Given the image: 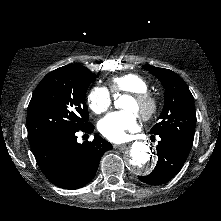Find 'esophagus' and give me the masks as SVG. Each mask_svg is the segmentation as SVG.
Returning a JSON list of instances; mask_svg holds the SVG:
<instances>
[{
    "mask_svg": "<svg viewBox=\"0 0 221 221\" xmlns=\"http://www.w3.org/2000/svg\"><path fill=\"white\" fill-rule=\"evenodd\" d=\"M126 143H124V144H114L113 146H114V148H119V149H122V148H124V147H126Z\"/></svg>",
    "mask_w": 221,
    "mask_h": 221,
    "instance_id": "esophagus-1",
    "label": "esophagus"
}]
</instances>
